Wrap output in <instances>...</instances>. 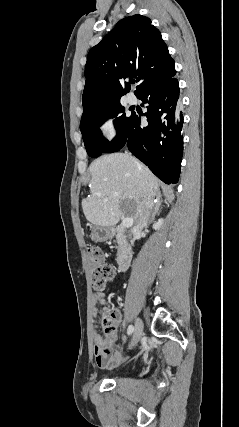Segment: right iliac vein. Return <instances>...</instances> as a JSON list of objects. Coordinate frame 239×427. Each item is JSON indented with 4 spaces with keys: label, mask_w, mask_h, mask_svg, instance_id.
Listing matches in <instances>:
<instances>
[{
    "label": "right iliac vein",
    "mask_w": 239,
    "mask_h": 427,
    "mask_svg": "<svg viewBox=\"0 0 239 427\" xmlns=\"http://www.w3.org/2000/svg\"><path fill=\"white\" fill-rule=\"evenodd\" d=\"M142 332H143V323H142V320L138 318L135 322V329H134L133 337H132L131 343L129 345L130 349L138 343V341L140 340V338L142 336Z\"/></svg>",
    "instance_id": "63e3f726"
}]
</instances>
